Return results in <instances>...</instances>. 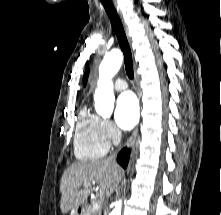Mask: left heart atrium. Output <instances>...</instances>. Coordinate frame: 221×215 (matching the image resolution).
<instances>
[{
  "mask_svg": "<svg viewBox=\"0 0 221 215\" xmlns=\"http://www.w3.org/2000/svg\"><path fill=\"white\" fill-rule=\"evenodd\" d=\"M139 119V106L135 96L126 92L122 94L116 103L115 121L117 125L124 129H132Z\"/></svg>",
  "mask_w": 221,
  "mask_h": 215,
  "instance_id": "1",
  "label": "left heart atrium"
}]
</instances>
